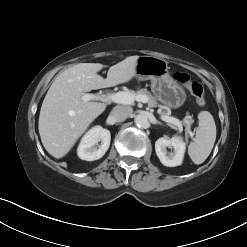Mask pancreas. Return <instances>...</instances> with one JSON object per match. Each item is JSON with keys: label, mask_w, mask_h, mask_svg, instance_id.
I'll return each instance as SVG.
<instances>
[{"label": "pancreas", "mask_w": 247, "mask_h": 247, "mask_svg": "<svg viewBox=\"0 0 247 247\" xmlns=\"http://www.w3.org/2000/svg\"><path fill=\"white\" fill-rule=\"evenodd\" d=\"M129 93L133 94L134 96H145L147 98V104H148V107H157L159 106L160 108V114L164 115V116H168L169 117V112L167 111H164L162 110L163 109V106H160L158 105L156 99L151 95V93L146 89H140L136 92L134 91H130ZM194 121L192 120L191 116H186L185 117V121H184V124L186 125V130H188L191 126V124L193 123Z\"/></svg>", "instance_id": "pancreas-1"}]
</instances>
